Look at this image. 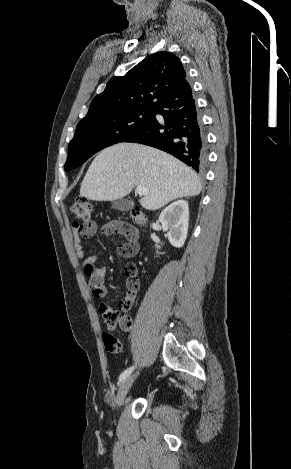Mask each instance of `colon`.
Listing matches in <instances>:
<instances>
[{
    "label": "colon",
    "instance_id": "5ec220e1",
    "mask_svg": "<svg viewBox=\"0 0 291 469\" xmlns=\"http://www.w3.org/2000/svg\"><path fill=\"white\" fill-rule=\"evenodd\" d=\"M72 214L83 223L81 224L82 230H86V226L91 222V215L93 207L90 201L86 198L79 197L75 200L71 208ZM131 217L136 222H143L144 215L139 208L131 210ZM135 251V246L127 242L119 247V252L122 255L132 254ZM125 273L127 276V294L120 302V310H129L139 288V281L137 278L138 269L134 263H128L125 266ZM107 302L103 301L100 306V312L103 314L104 322L109 330L115 329L117 326L123 328H131V319L127 316H120L116 310L106 307ZM103 343L105 349L110 353H119L121 351L120 341L110 332L103 333Z\"/></svg>",
    "mask_w": 291,
    "mask_h": 469
}]
</instances>
